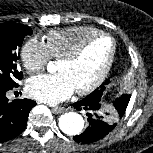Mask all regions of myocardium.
I'll list each match as a JSON object with an SVG mask.
<instances>
[{
	"label": "myocardium",
	"instance_id": "1",
	"mask_svg": "<svg viewBox=\"0 0 153 153\" xmlns=\"http://www.w3.org/2000/svg\"><path fill=\"white\" fill-rule=\"evenodd\" d=\"M102 37L110 39V41L112 43V49H111V53H110L109 59H108L106 65L104 66L103 70L99 74V76L92 83H90L86 87L75 89V92L80 94V95H85V94H88V93L94 91L96 88H98L103 83V81L108 76V74H109V72H110V70L112 68L113 62L115 60L116 51H117V44H116L115 39L110 34L104 33V32H100V33L91 35V36L87 37L86 39H84L71 52H69L68 54L62 56L59 59V61H64V62L75 61L83 53V51L86 49V47L91 42H93L96 39L102 38Z\"/></svg>",
	"mask_w": 153,
	"mask_h": 153
}]
</instances>
